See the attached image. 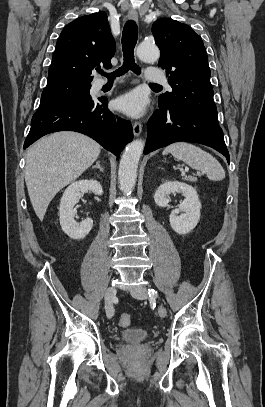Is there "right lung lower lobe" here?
I'll list each match as a JSON object with an SVG mask.
<instances>
[{"label":"right lung lower lobe","mask_w":265,"mask_h":407,"mask_svg":"<svg viewBox=\"0 0 265 407\" xmlns=\"http://www.w3.org/2000/svg\"><path fill=\"white\" fill-rule=\"evenodd\" d=\"M64 130L90 136L117 158L133 139L130 122L112 114L107 108L106 98L93 100L90 96L75 103L38 110L31 120L24 148L48 133Z\"/></svg>","instance_id":"98d812e1"}]
</instances>
